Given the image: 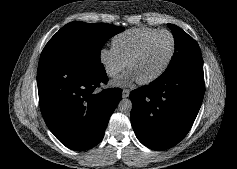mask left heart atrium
<instances>
[{"label": "left heart atrium", "instance_id": "39dd6f15", "mask_svg": "<svg viewBox=\"0 0 237 169\" xmlns=\"http://www.w3.org/2000/svg\"><path fill=\"white\" fill-rule=\"evenodd\" d=\"M135 79H136V77L130 71L127 75H125L123 78H121L119 82H121V83H128V82L133 81Z\"/></svg>", "mask_w": 237, "mask_h": 169}]
</instances>
